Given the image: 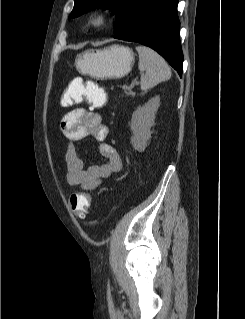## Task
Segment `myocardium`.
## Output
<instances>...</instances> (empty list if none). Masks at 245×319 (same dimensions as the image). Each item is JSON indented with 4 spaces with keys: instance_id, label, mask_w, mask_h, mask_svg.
I'll return each mask as SVG.
<instances>
[{
    "instance_id": "1",
    "label": "myocardium",
    "mask_w": 245,
    "mask_h": 319,
    "mask_svg": "<svg viewBox=\"0 0 245 319\" xmlns=\"http://www.w3.org/2000/svg\"><path fill=\"white\" fill-rule=\"evenodd\" d=\"M109 15L104 11H94L88 17V25L92 29H100L109 22Z\"/></svg>"
}]
</instances>
